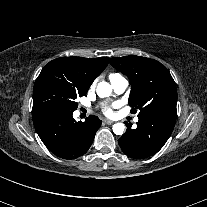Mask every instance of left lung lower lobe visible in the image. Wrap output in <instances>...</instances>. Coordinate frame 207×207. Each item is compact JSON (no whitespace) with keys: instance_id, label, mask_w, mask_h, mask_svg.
<instances>
[{"instance_id":"0a47b994","label":"left lung lower lobe","mask_w":207,"mask_h":207,"mask_svg":"<svg viewBox=\"0 0 207 207\" xmlns=\"http://www.w3.org/2000/svg\"><path fill=\"white\" fill-rule=\"evenodd\" d=\"M137 127L127 125L118 140L122 151L129 157L143 159L157 153L170 137L176 118L167 116L138 117Z\"/></svg>"}]
</instances>
